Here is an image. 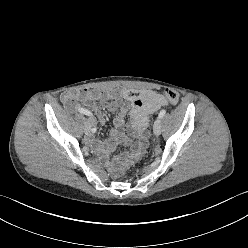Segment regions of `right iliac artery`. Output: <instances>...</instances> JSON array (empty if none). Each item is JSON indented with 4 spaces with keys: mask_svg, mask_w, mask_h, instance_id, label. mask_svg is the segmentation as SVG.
<instances>
[{
    "mask_svg": "<svg viewBox=\"0 0 248 248\" xmlns=\"http://www.w3.org/2000/svg\"><path fill=\"white\" fill-rule=\"evenodd\" d=\"M78 111H79L80 113L85 114V115H88V116H91V115H92L88 110H86V109H84V108H79ZM95 131H96V129L93 128V129H92V132H95Z\"/></svg>",
    "mask_w": 248,
    "mask_h": 248,
    "instance_id": "1",
    "label": "right iliac artery"
}]
</instances>
